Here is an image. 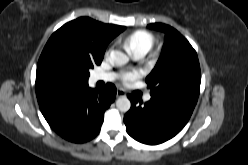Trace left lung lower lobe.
I'll return each mask as SVG.
<instances>
[{
    "label": "left lung lower lobe",
    "mask_w": 248,
    "mask_h": 165,
    "mask_svg": "<svg viewBox=\"0 0 248 165\" xmlns=\"http://www.w3.org/2000/svg\"><path fill=\"white\" fill-rule=\"evenodd\" d=\"M131 108L124 116L127 133L135 140L156 145L178 134L188 122L193 105L151 97L142 103L128 95Z\"/></svg>",
    "instance_id": "1"
}]
</instances>
